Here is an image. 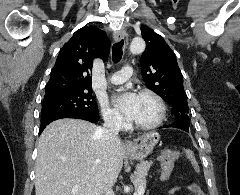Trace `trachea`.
<instances>
[{"instance_id":"3493384b","label":"trachea","mask_w":240,"mask_h":195,"mask_svg":"<svg viewBox=\"0 0 240 195\" xmlns=\"http://www.w3.org/2000/svg\"><path fill=\"white\" fill-rule=\"evenodd\" d=\"M123 43V40H121L120 42H116L112 47V60L114 63H118L122 58Z\"/></svg>"}]
</instances>
